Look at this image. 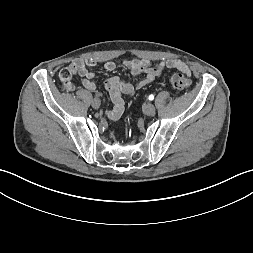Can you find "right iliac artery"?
<instances>
[{
	"label": "right iliac artery",
	"mask_w": 253,
	"mask_h": 253,
	"mask_svg": "<svg viewBox=\"0 0 253 253\" xmlns=\"http://www.w3.org/2000/svg\"><path fill=\"white\" fill-rule=\"evenodd\" d=\"M100 96H102L101 93H99V92L95 93V98H99Z\"/></svg>",
	"instance_id": "1"
}]
</instances>
